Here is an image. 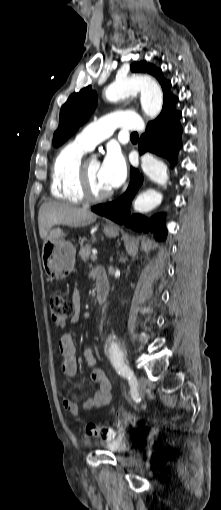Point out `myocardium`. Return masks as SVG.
Wrapping results in <instances>:
<instances>
[{"label":"myocardium","mask_w":221,"mask_h":510,"mask_svg":"<svg viewBox=\"0 0 221 510\" xmlns=\"http://www.w3.org/2000/svg\"><path fill=\"white\" fill-rule=\"evenodd\" d=\"M78 187L83 201L89 203L104 202L107 199L111 198L113 195L112 191L100 195L93 193V191L91 190L89 175L87 171V161H83L80 164L78 172Z\"/></svg>","instance_id":"1"}]
</instances>
